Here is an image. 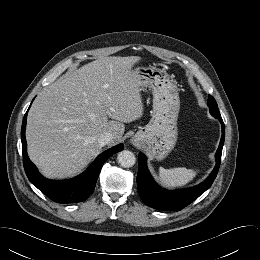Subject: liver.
<instances>
[{"mask_svg":"<svg viewBox=\"0 0 260 260\" xmlns=\"http://www.w3.org/2000/svg\"><path fill=\"white\" fill-rule=\"evenodd\" d=\"M140 60L100 58L36 97L28 113L26 139L28 155L44 176L62 179L81 172L101 151V134L111 133L110 143L116 144L124 123L142 116L140 83L132 70Z\"/></svg>","mask_w":260,"mask_h":260,"instance_id":"1","label":"liver"}]
</instances>
